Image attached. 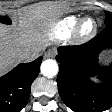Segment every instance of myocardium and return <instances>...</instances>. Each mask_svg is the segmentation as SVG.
I'll return each mask as SVG.
<instances>
[{
    "label": "myocardium",
    "instance_id": "myocardium-1",
    "mask_svg": "<svg viewBox=\"0 0 112 112\" xmlns=\"http://www.w3.org/2000/svg\"><path fill=\"white\" fill-rule=\"evenodd\" d=\"M87 22H92L93 27L91 28L90 31L84 32L83 27ZM97 31H98L97 21L91 17H84V18L80 19L79 22L77 23V25L73 31V39L77 43H86L96 36Z\"/></svg>",
    "mask_w": 112,
    "mask_h": 112
}]
</instances>
